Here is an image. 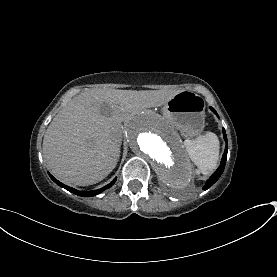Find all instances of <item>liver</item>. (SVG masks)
I'll list each match as a JSON object with an SVG mask.
<instances>
[{
  "mask_svg": "<svg viewBox=\"0 0 277 277\" xmlns=\"http://www.w3.org/2000/svg\"><path fill=\"white\" fill-rule=\"evenodd\" d=\"M173 95L156 90L93 89L75 96L44 135L46 164L65 182L83 186L99 182L116 167L129 122L140 110L163 106Z\"/></svg>",
  "mask_w": 277,
  "mask_h": 277,
  "instance_id": "liver-1",
  "label": "liver"
}]
</instances>
